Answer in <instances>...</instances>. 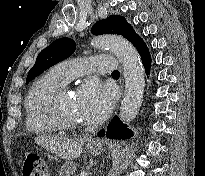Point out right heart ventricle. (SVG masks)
<instances>
[{
    "label": "right heart ventricle",
    "instance_id": "1",
    "mask_svg": "<svg viewBox=\"0 0 205 176\" xmlns=\"http://www.w3.org/2000/svg\"><path fill=\"white\" fill-rule=\"evenodd\" d=\"M65 85L52 72L43 75L34 82L24 101L25 124L29 132L48 134L58 131L57 125L48 115L47 100L54 91Z\"/></svg>",
    "mask_w": 205,
    "mask_h": 176
}]
</instances>
